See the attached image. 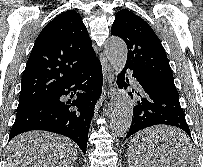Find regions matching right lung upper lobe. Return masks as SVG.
Listing matches in <instances>:
<instances>
[{"mask_svg":"<svg viewBox=\"0 0 203 167\" xmlns=\"http://www.w3.org/2000/svg\"><path fill=\"white\" fill-rule=\"evenodd\" d=\"M97 59L81 16L73 10L58 15L35 41L22 75L18 106L49 100Z\"/></svg>","mask_w":203,"mask_h":167,"instance_id":"cb5924a9","label":"right lung upper lobe"}]
</instances>
